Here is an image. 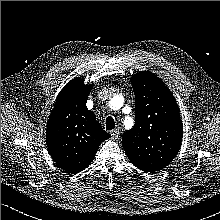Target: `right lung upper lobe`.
I'll list each match as a JSON object with an SVG mask.
<instances>
[{"mask_svg": "<svg viewBox=\"0 0 220 220\" xmlns=\"http://www.w3.org/2000/svg\"><path fill=\"white\" fill-rule=\"evenodd\" d=\"M93 84L81 78L68 82L59 93L46 129V142L55 163L68 174L90 165L99 145L110 135L86 108Z\"/></svg>", "mask_w": 220, "mask_h": 220, "instance_id": "1", "label": "right lung upper lobe"}]
</instances>
